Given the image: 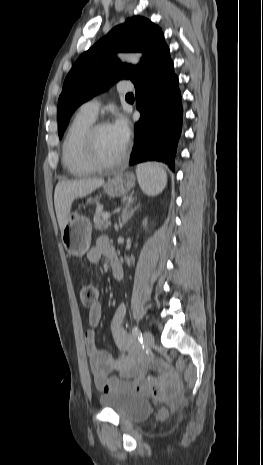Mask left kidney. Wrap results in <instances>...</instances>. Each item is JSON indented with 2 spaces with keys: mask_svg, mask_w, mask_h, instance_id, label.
<instances>
[{
  "mask_svg": "<svg viewBox=\"0 0 263 465\" xmlns=\"http://www.w3.org/2000/svg\"><path fill=\"white\" fill-rule=\"evenodd\" d=\"M143 226L146 228L147 227V218L143 220Z\"/></svg>",
  "mask_w": 263,
  "mask_h": 465,
  "instance_id": "left-kidney-1",
  "label": "left kidney"
}]
</instances>
